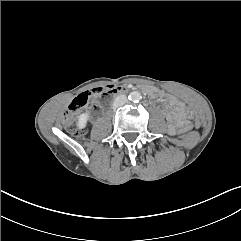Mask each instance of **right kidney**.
Listing matches in <instances>:
<instances>
[{"label": "right kidney", "instance_id": "1", "mask_svg": "<svg viewBox=\"0 0 241 241\" xmlns=\"http://www.w3.org/2000/svg\"><path fill=\"white\" fill-rule=\"evenodd\" d=\"M90 114L88 112H84L80 114L77 121V128L84 129L87 125V121L89 120Z\"/></svg>", "mask_w": 241, "mask_h": 241}]
</instances>
